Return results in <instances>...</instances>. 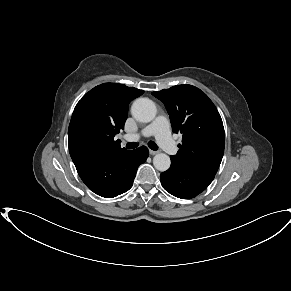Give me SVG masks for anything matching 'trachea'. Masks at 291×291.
Segmentation results:
<instances>
[{
  "instance_id": "3493384b",
  "label": "trachea",
  "mask_w": 291,
  "mask_h": 291,
  "mask_svg": "<svg viewBox=\"0 0 291 291\" xmlns=\"http://www.w3.org/2000/svg\"><path fill=\"white\" fill-rule=\"evenodd\" d=\"M138 147V143L136 142H128L126 144V148L127 149H134ZM148 147L154 151L158 150V146L156 145V143L154 141H149L148 142Z\"/></svg>"
}]
</instances>
